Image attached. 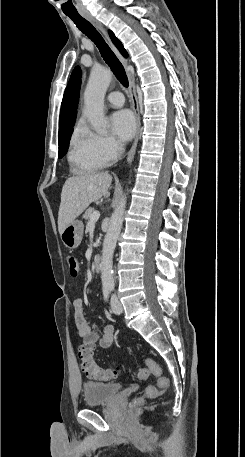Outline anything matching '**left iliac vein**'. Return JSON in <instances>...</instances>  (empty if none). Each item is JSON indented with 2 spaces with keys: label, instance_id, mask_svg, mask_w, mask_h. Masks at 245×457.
<instances>
[{
  "label": "left iliac vein",
  "instance_id": "obj_1",
  "mask_svg": "<svg viewBox=\"0 0 245 457\" xmlns=\"http://www.w3.org/2000/svg\"><path fill=\"white\" fill-rule=\"evenodd\" d=\"M111 309L116 315H120L123 312V306L116 295L111 298Z\"/></svg>",
  "mask_w": 245,
  "mask_h": 457
}]
</instances>
